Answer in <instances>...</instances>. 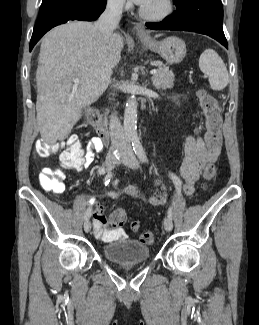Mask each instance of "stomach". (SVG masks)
<instances>
[{
    "label": "stomach",
    "instance_id": "obj_1",
    "mask_svg": "<svg viewBox=\"0 0 259 325\" xmlns=\"http://www.w3.org/2000/svg\"><path fill=\"white\" fill-rule=\"evenodd\" d=\"M150 50L158 53L167 63L178 64L186 55L185 42L178 37H167L162 41L142 40Z\"/></svg>",
    "mask_w": 259,
    "mask_h": 325
}]
</instances>
